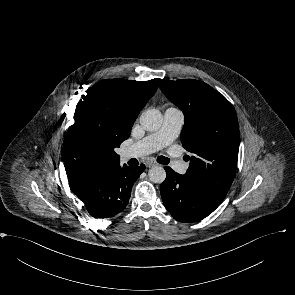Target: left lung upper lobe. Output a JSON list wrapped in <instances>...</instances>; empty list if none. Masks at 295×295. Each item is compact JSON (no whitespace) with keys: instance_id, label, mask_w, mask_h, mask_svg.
<instances>
[{"instance_id":"obj_1","label":"left lung upper lobe","mask_w":295,"mask_h":295,"mask_svg":"<svg viewBox=\"0 0 295 295\" xmlns=\"http://www.w3.org/2000/svg\"><path fill=\"white\" fill-rule=\"evenodd\" d=\"M160 88L184 113L181 142L192 153L185 176L222 202L235 176L240 142L233 105L198 80H162Z\"/></svg>"}]
</instances>
